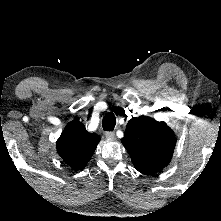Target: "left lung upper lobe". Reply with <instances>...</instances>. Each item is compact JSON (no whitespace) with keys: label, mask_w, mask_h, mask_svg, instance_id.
Masks as SVG:
<instances>
[{"label":"left lung upper lobe","mask_w":221,"mask_h":221,"mask_svg":"<svg viewBox=\"0 0 221 221\" xmlns=\"http://www.w3.org/2000/svg\"><path fill=\"white\" fill-rule=\"evenodd\" d=\"M121 141L135 168L146 175L167 166L175 147V135L167 124L147 116L130 119Z\"/></svg>","instance_id":"5c2ea615"}]
</instances>
